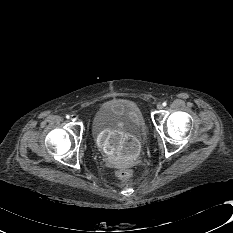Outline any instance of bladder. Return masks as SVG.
Listing matches in <instances>:
<instances>
[{
  "instance_id": "bladder-1",
  "label": "bladder",
  "mask_w": 233,
  "mask_h": 233,
  "mask_svg": "<svg viewBox=\"0 0 233 233\" xmlns=\"http://www.w3.org/2000/svg\"><path fill=\"white\" fill-rule=\"evenodd\" d=\"M91 125L95 131H119L127 135L146 134L147 126L135 104L105 103L95 112Z\"/></svg>"
}]
</instances>
